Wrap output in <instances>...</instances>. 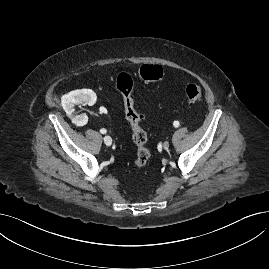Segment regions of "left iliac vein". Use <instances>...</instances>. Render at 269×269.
<instances>
[{
    "label": "left iliac vein",
    "instance_id": "1",
    "mask_svg": "<svg viewBox=\"0 0 269 269\" xmlns=\"http://www.w3.org/2000/svg\"><path fill=\"white\" fill-rule=\"evenodd\" d=\"M169 146H170V144H169L168 141H165V142L163 143V148H164L165 150L168 149Z\"/></svg>",
    "mask_w": 269,
    "mask_h": 269
}]
</instances>
